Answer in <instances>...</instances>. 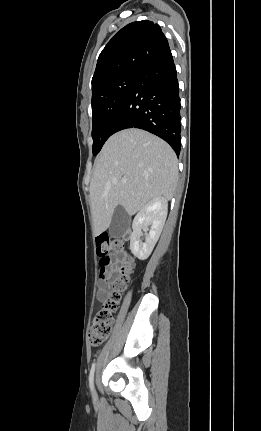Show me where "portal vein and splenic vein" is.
I'll list each match as a JSON object with an SVG mask.
<instances>
[{"instance_id":"obj_1","label":"portal vein and splenic vein","mask_w":261,"mask_h":431,"mask_svg":"<svg viewBox=\"0 0 261 431\" xmlns=\"http://www.w3.org/2000/svg\"><path fill=\"white\" fill-rule=\"evenodd\" d=\"M122 183L124 184V183H126V179H122Z\"/></svg>"}]
</instances>
